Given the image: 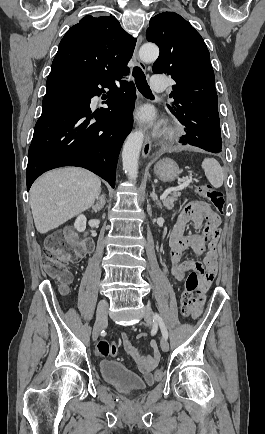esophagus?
Returning a JSON list of instances; mask_svg holds the SVG:
<instances>
[{"label": "esophagus", "instance_id": "34e87169", "mask_svg": "<svg viewBox=\"0 0 265 434\" xmlns=\"http://www.w3.org/2000/svg\"><path fill=\"white\" fill-rule=\"evenodd\" d=\"M142 40H143V36L140 35L138 37V39H137V43H136V47H135V50H134V53H133L132 60H133V62L136 65H138V67H140L142 69V71L143 70L145 71L146 70V65L139 59V56H138V49H139V47H140V45L142 43ZM151 146H152L151 139H150V137L148 135H146L145 141H144V144H143V150H142V157L143 158L148 157V155H149V153L151 151Z\"/></svg>", "mask_w": 265, "mask_h": 434}]
</instances>
